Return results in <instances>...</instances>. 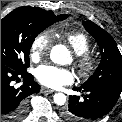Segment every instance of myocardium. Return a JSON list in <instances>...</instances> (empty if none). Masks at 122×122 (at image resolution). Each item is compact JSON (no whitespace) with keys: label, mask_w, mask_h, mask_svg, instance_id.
Masks as SVG:
<instances>
[{"label":"myocardium","mask_w":122,"mask_h":122,"mask_svg":"<svg viewBox=\"0 0 122 122\" xmlns=\"http://www.w3.org/2000/svg\"><path fill=\"white\" fill-rule=\"evenodd\" d=\"M76 65L82 78L90 77L97 68L96 59L89 52L79 55Z\"/></svg>","instance_id":"myocardium-1"}]
</instances>
